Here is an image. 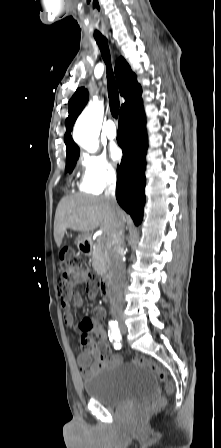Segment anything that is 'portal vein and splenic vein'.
<instances>
[{
	"instance_id": "obj_1",
	"label": "portal vein and splenic vein",
	"mask_w": 221,
	"mask_h": 448,
	"mask_svg": "<svg viewBox=\"0 0 221 448\" xmlns=\"http://www.w3.org/2000/svg\"><path fill=\"white\" fill-rule=\"evenodd\" d=\"M98 241H102V239L101 238H99V240Z\"/></svg>"
}]
</instances>
